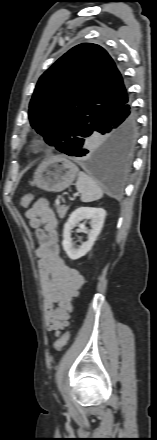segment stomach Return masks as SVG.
<instances>
[{"label":"stomach","instance_id":"1","mask_svg":"<svg viewBox=\"0 0 157 440\" xmlns=\"http://www.w3.org/2000/svg\"><path fill=\"white\" fill-rule=\"evenodd\" d=\"M78 172L76 165L66 157L52 156L39 164L32 184L48 192H61L73 183Z\"/></svg>","mask_w":157,"mask_h":440}]
</instances>
